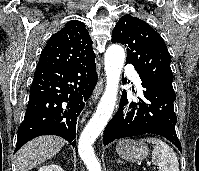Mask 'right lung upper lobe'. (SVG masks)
<instances>
[{"label":"right lung upper lobe","mask_w":199,"mask_h":171,"mask_svg":"<svg viewBox=\"0 0 199 171\" xmlns=\"http://www.w3.org/2000/svg\"><path fill=\"white\" fill-rule=\"evenodd\" d=\"M95 58L92 40L85 24L71 20L51 36L43 49L37 67L77 65Z\"/></svg>","instance_id":"cb5924a9"}]
</instances>
